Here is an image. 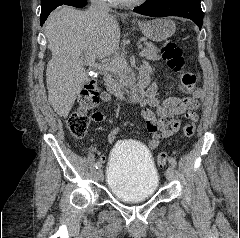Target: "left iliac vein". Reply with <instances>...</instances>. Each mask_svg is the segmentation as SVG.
Segmentation results:
<instances>
[{"mask_svg":"<svg viewBox=\"0 0 240 238\" xmlns=\"http://www.w3.org/2000/svg\"><path fill=\"white\" fill-rule=\"evenodd\" d=\"M174 174H175L174 168H173L172 166L168 167V169L166 170V173H165L166 178H167L169 181H171V180H173V178H174Z\"/></svg>","mask_w":240,"mask_h":238,"instance_id":"obj_1","label":"left iliac vein"}]
</instances>
